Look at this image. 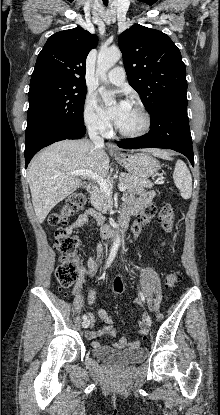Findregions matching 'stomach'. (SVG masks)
<instances>
[{
	"mask_svg": "<svg viewBox=\"0 0 220 415\" xmlns=\"http://www.w3.org/2000/svg\"><path fill=\"white\" fill-rule=\"evenodd\" d=\"M132 175L140 178L153 176L159 169V162L147 153L122 154L115 158Z\"/></svg>",
	"mask_w": 220,
	"mask_h": 415,
	"instance_id": "stomach-1",
	"label": "stomach"
}]
</instances>
